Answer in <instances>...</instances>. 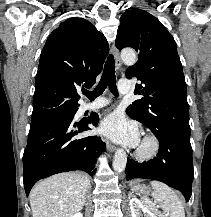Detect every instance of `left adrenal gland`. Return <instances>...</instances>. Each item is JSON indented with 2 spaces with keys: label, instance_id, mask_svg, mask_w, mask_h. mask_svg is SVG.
<instances>
[{
  "label": "left adrenal gland",
  "instance_id": "obj_1",
  "mask_svg": "<svg viewBox=\"0 0 211 217\" xmlns=\"http://www.w3.org/2000/svg\"><path fill=\"white\" fill-rule=\"evenodd\" d=\"M128 196H129V198H130L131 196H134V195H133L132 192H129V193H128Z\"/></svg>",
  "mask_w": 211,
  "mask_h": 217
}]
</instances>
